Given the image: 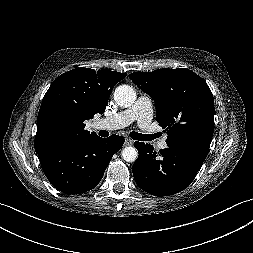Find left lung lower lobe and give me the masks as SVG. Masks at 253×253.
I'll use <instances>...</instances> for the list:
<instances>
[{
  "mask_svg": "<svg viewBox=\"0 0 253 253\" xmlns=\"http://www.w3.org/2000/svg\"><path fill=\"white\" fill-rule=\"evenodd\" d=\"M138 159L133 165L137 185L155 196L174 195L184 190L195 178L202 166L209 146L187 144L168 146L158 153L150 144L135 142Z\"/></svg>",
  "mask_w": 253,
  "mask_h": 253,
  "instance_id": "1",
  "label": "left lung lower lobe"
}]
</instances>
